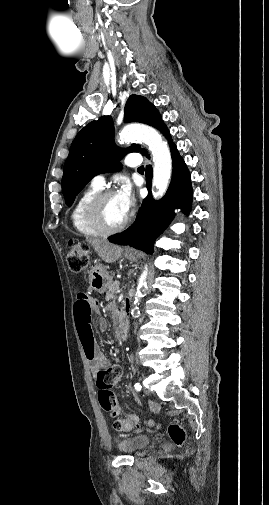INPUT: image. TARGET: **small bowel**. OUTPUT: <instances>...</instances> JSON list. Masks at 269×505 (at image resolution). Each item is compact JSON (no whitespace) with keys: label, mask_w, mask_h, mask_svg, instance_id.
I'll list each match as a JSON object with an SVG mask.
<instances>
[{"label":"small bowel","mask_w":269,"mask_h":505,"mask_svg":"<svg viewBox=\"0 0 269 505\" xmlns=\"http://www.w3.org/2000/svg\"><path fill=\"white\" fill-rule=\"evenodd\" d=\"M98 310V302L87 289H78L75 297V322L84 353L88 361L91 363L94 376L109 368V362L105 355L97 347L91 326V317ZM98 329L102 332L107 330V322L104 319H99L97 322ZM119 371L121 376L122 368L120 365L110 366ZM149 425L153 422L149 421Z\"/></svg>","instance_id":"1"}]
</instances>
